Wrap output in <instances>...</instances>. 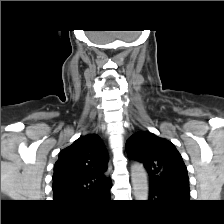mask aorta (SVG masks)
Here are the masks:
<instances>
[{
	"label": "aorta",
	"instance_id": "aorta-1",
	"mask_svg": "<svg viewBox=\"0 0 224 224\" xmlns=\"http://www.w3.org/2000/svg\"><path fill=\"white\" fill-rule=\"evenodd\" d=\"M131 181L136 200H147L149 195L148 180L142 164L134 163L131 166Z\"/></svg>",
	"mask_w": 224,
	"mask_h": 224
}]
</instances>
